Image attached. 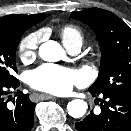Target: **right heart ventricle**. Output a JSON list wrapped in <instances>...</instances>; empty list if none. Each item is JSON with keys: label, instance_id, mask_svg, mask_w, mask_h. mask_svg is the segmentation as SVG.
I'll list each match as a JSON object with an SVG mask.
<instances>
[{"label": "right heart ventricle", "instance_id": "1", "mask_svg": "<svg viewBox=\"0 0 131 131\" xmlns=\"http://www.w3.org/2000/svg\"><path fill=\"white\" fill-rule=\"evenodd\" d=\"M60 37L66 47L74 44L82 45L83 42V34L81 30L74 25H65L60 30Z\"/></svg>", "mask_w": 131, "mask_h": 131}]
</instances>
